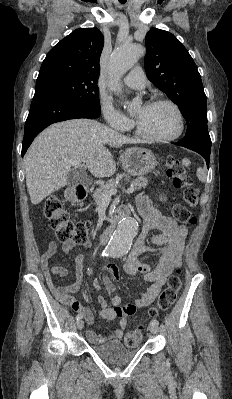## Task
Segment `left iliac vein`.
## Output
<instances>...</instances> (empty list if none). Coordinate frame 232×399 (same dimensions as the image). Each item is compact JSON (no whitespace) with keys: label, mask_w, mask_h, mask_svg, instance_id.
Returning a JSON list of instances; mask_svg holds the SVG:
<instances>
[{"label":"left iliac vein","mask_w":232,"mask_h":399,"mask_svg":"<svg viewBox=\"0 0 232 399\" xmlns=\"http://www.w3.org/2000/svg\"><path fill=\"white\" fill-rule=\"evenodd\" d=\"M149 330H150L151 333H157L158 332V329H157L156 325H150Z\"/></svg>","instance_id":"4c4485c4"}]
</instances>
